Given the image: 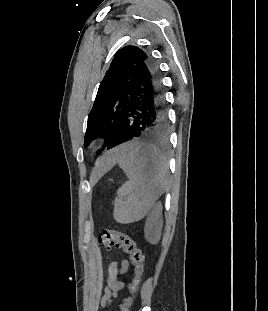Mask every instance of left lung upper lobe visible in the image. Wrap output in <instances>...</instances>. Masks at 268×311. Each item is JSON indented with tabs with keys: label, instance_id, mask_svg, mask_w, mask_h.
Segmentation results:
<instances>
[{
	"label": "left lung upper lobe",
	"instance_id": "left-lung-upper-lobe-1",
	"mask_svg": "<svg viewBox=\"0 0 268 311\" xmlns=\"http://www.w3.org/2000/svg\"><path fill=\"white\" fill-rule=\"evenodd\" d=\"M148 58L150 55L146 51L131 45L121 48L115 54L88 116L86 146L97 136L104 137L105 146L109 145L125 116L137 72Z\"/></svg>",
	"mask_w": 268,
	"mask_h": 311
}]
</instances>
